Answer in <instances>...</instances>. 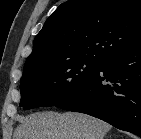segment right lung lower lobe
<instances>
[{
	"label": "right lung lower lobe",
	"mask_w": 141,
	"mask_h": 139,
	"mask_svg": "<svg viewBox=\"0 0 141 139\" xmlns=\"http://www.w3.org/2000/svg\"><path fill=\"white\" fill-rule=\"evenodd\" d=\"M55 106L141 137V42L107 56L83 87Z\"/></svg>",
	"instance_id": "right-lung-lower-lobe-1"
}]
</instances>
